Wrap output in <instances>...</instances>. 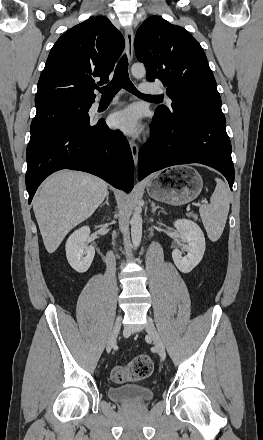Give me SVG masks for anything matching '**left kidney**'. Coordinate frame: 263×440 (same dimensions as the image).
Returning a JSON list of instances; mask_svg holds the SVG:
<instances>
[{
  "mask_svg": "<svg viewBox=\"0 0 263 440\" xmlns=\"http://www.w3.org/2000/svg\"><path fill=\"white\" fill-rule=\"evenodd\" d=\"M174 227L179 232L182 241L187 243L184 246L187 255L183 257L179 249H174L172 258L182 273H189L203 258L205 252L204 234L197 223L187 219L176 220Z\"/></svg>",
  "mask_w": 263,
  "mask_h": 440,
  "instance_id": "5707ae66",
  "label": "left kidney"
}]
</instances>
